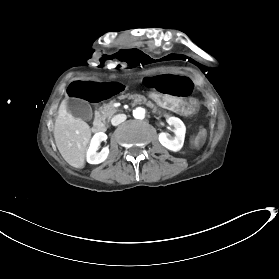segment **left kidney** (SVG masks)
<instances>
[{"label":"left kidney","instance_id":"obj_1","mask_svg":"<svg viewBox=\"0 0 279 279\" xmlns=\"http://www.w3.org/2000/svg\"><path fill=\"white\" fill-rule=\"evenodd\" d=\"M167 122L174 128L173 133L175 136L171 137L168 133H159L158 140L160 144L166 149L173 152H178L183 147L186 127L184 123L176 117H171Z\"/></svg>","mask_w":279,"mask_h":279}]
</instances>
